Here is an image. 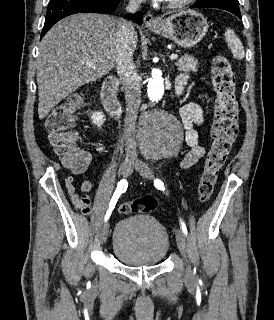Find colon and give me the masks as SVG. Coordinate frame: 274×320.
Returning <instances> with one entry per match:
<instances>
[{
  "instance_id": "colon-1",
  "label": "colon",
  "mask_w": 274,
  "mask_h": 320,
  "mask_svg": "<svg viewBox=\"0 0 274 320\" xmlns=\"http://www.w3.org/2000/svg\"><path fill=\"white\" fill-rule=\"evenodd\" d=\"M212 84L216 93V109L210 134L211 147L197 187L200 203L210 200L217 173L224 164L239 129L235 74L229 61L222 55L217 56L213 61ZM80 105V98L71 96L67 103L52 109L46 122L49 141L55 154L74 173L83 171L87 166V154L74 152L79 144L78 135L74 131L77 117L75 112ZM66 185L69 196H80L75 192L72 177L66 179ZM156 207L155 198L147 196L121 203L118 206V212L124 215L149 213Z\"/></svg>"
}]
</instances>
